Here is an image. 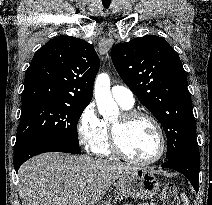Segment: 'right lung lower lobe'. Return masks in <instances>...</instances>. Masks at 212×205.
<instances>
[{
  "mask_svg": "<svg viewBox=\"0 0 212 205\" xmlns=\"http://www.w3.org/2000/svg\"><path fill=\"white\" fill-rule=\"evenodd\" d=\"M52 151L77 154L81 152V149L77 145L59 139H34L14 148L15 171L18 172L19 167L29 158Z\"/></svg>",
  "mask_w": 212,
  "mask_h": 205,
  "instance_id": "98d812e1",
  "label": "right lung lower lobe"
}]
</instances>
